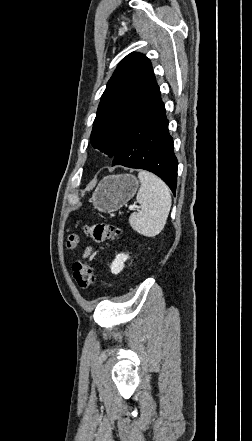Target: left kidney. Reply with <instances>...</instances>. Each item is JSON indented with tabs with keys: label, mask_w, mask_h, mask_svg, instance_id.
Here are the masks:
<instances>
[{
	"label": "left kidney",
	"mask_w": 252,
	"mask_h": 441,
	"mask_svg": "<svg viewBox=\"0 0 252 441\" xmlns=\"http://www.w3.org/2000/svg\"><path fill=\"white\" fill-rule=\"evenodd\" d=\"M128 259V255L124 253L117 254L110 268L113 274H119L124 268V262Z\"/></svg>",
	"instance_id": "left-kidney-1"
}]
</instances>
